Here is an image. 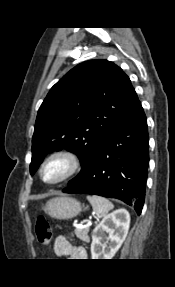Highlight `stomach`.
Segmentation results:
<instances>
[{"mask_svg": "<svg viewBox=\"0 0 175 287\" xmlns=\"http://www.w3.org/2000/svg\"><path fill=\"white\" fill-rule=\"evenodd\" d=\"M43 210L52 218L66 220L80 213L81 204L74 198L62 196L50 199Z\"/></svg>", "mask_w": 175, "mask_h": 287, "instance_id": "obj_1", "label": "stomach"}]
</instances>
